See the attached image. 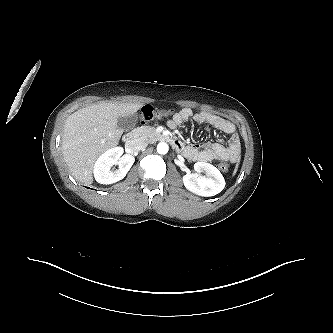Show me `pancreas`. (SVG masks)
Here are the masks:
<instances>
[{"label": "pancreas", "mask_w": 333, "mask_h": 333, "mask_svg": "<svg viewBox=\"0 0 333 333\" xmlns=\"http://www.w3.org/2000/svg\"><path fill=\"white\" fill-rule=\"evenodd\" d=\"M133 134L135 137L142 138L148 142L154 141L156 137L160 136L156 129L150 126L137 127L133 130Z\"/></svg>", "instance_id": "pancreas-1"}]
</instances>
